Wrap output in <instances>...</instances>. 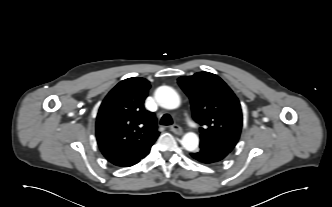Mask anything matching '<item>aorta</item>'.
Listing matches in <instances>:
<instances>
[{"instance_id":"aorta-1","label":"aorta","mask_w":332,"mask_h":207,"mask_svg":"<svg viewBox=\"0 0 332 207\" xmlns=\"http://www.w3.org/2000/svg\"><path fill=\"white\" fill-rule=\"evenodd\" d=\"M155 99L158 104L165 109H176L180 105L178 93L169 86L157 88L155 91ZM181 144L187 151H195L199 145V138L194 132H188L182 137Z\"/></svg>"}]
</instances>
